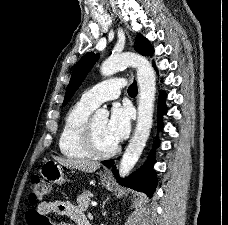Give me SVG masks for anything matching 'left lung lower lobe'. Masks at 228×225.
Instances as JSON below:
<instances>
[{
  "label": "left lung lower lobe",
  "mask_w": 228,
  "mask_h": 225,
  "mask_svg": "<svg viewBox=\"0 0 228 225\" xmlns=\"http://www.w3.org/2000/svg\"><path fill=\"white\" fill-rule=\"evenodd\" d=\"M165 98L166 95L162 92L158 102V129L163 127L161 116L166 113V107L163 103ZM158 144L159 141L156 140L155 146H158ZM154 162V151H152L145 165L126 179H121L119 177L116 166H114V162L112 160L102 161L101 163L108 168H112V171L120 184L144 192L147 196L151 197L157 186L156 174L153 170Z\"/></svg>",
  "instance_id": "obj_1"
}]
</instances>
